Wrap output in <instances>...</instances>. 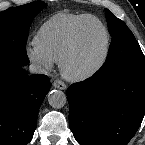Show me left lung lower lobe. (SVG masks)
I'll list each match as a JSON object with an SVG mask.
<instances>
[{"label":"left lung lower lobe","mask_w":145,"mask_h":145,"mask_svg":"<svg viewBox=\"0 0 145 145\" xmlns=\"http://www.w3.org/2000/svg\"><path fill=\"white\" fill-rule=\"evenodd\" d=\"M69 123L80 145H126L145 115V68L96 73L67 90Z\"/></svg>","instance_id":"left-lung-lower-lobe-1"}]
</instances>
